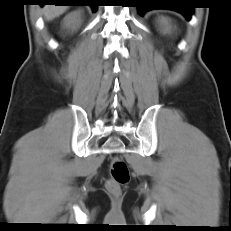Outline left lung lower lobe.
I'll list each match as a JSON object with an SVG mask.
<instances>
[{"instance_id":"1","label":"left lung lower lobe","mask_w":231,"mask_h":231,"mask_svg":"<svg viewBox=\"0 0 231 231\" xmlns=\"http://www.w3.org/2000/svg\"><path fill=\"white\" fill-rule=\"evenodd\" d=\"M139 15H143L146 11L158 8H166L182 13L187 20L193 14V7L188 5L186 0H136Z\"/></svg>"}]
</instances>
